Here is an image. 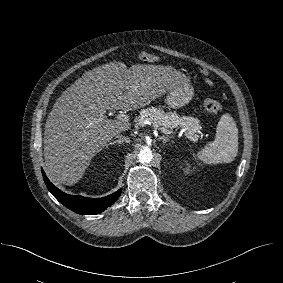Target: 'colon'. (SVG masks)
I'll return each mask as SVG.
<instances>
[{
  "mask_svg": "<svg viewBox=\"0 0 283 283\" xmlns=\"http://www.w3.org/2000/svg\"><path fill=\"white\" fill-rule=\"evenodd\" d=\"M140 59L146 63H151V62L157 61L158 56L153 53H149V52H141ZM204 107L209 113H212L215 115H220L223 112L222 105L218 101L213 100V99L205 100Z\"/></svg>",
  "mask_w": 283,
  "mask_h": 283,
  "instance_id": "colon-1",
  "label": "colon"
}]
</instances>
